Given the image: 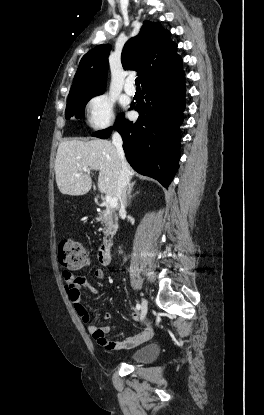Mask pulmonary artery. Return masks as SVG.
<instances>
[{
  "label": "pulmonary artery",
  "mask_w": 264,
  "mask_h": 415,
  "mask_svg": "<svg viewBox=\"0 0 264 415\" xmlns=\"http://www.w3.org/2000/svg\"><path fill=\"white\" fill-rule=\"evenodd\" d=\"M124 90L128 95H134L136 93V89L134 87V77L129 76L125 80Z\"/></svg>",
  "instance_id": "e3ab8cb5"
}]
</instances>
